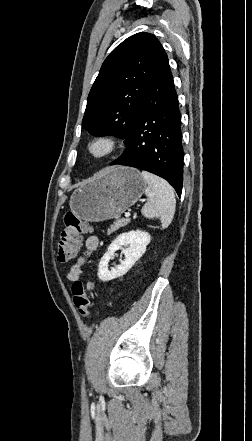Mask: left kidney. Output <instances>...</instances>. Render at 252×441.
Masks as SVG:
<instances>
[{
  "label": "left kidney",
  "instance_id": "5707ae66",
  "mask_svg": "<svg viewBox=\"0 0 252 441\" xmlns=\"http://www.w3.org/2000/svg\"><path fill=\"white\" fill-rule=\"evenodd\" d=\"M150 240V234L140 230L126 232L117 236L99 263V279L103 282H108L126 274L145 253L146 246L150 243ZM127 245H129L128 248H123V246ZM119 249H122L125 259L121 260L120 265L110 270L108 263L114 257V253Z\"/></svg>",
  "mask_w": 252,
  "mask_h": 441
}]
</instances>
